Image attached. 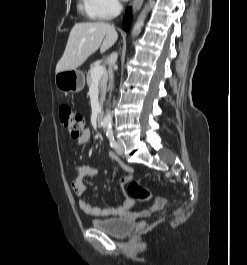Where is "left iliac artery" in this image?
I'll return each instance as SVG.
<instances>
[{
	"instance_id": "1",
	"label": "left iliac artery",
	"mask_w": 247,
	"mask_h": 265,
	"mask_svg": "<svg viewBox=\"0 0 247 265\" xmlns=\"http://www.w3.org/2000/svg\"><path fill=\"white\" fill-rule=\"evenodd\" d=\"M106 136L108 137L109 141H110V146L112 148H116L117 147V142L115 141L114 138V134H113V130H112V126L109 125L106 129Z\"/></svg>"
}]
</instances>
